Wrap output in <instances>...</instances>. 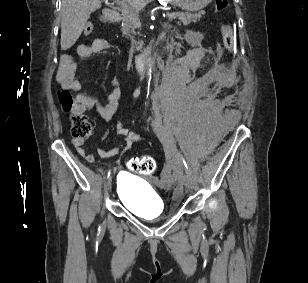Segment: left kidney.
<instances>
[{
  "label": "left kidney",
  "mask_w": 308,
  "mask_h": 283,
  "mask_svg": "<svg viewBox=\"0 0 308 283\" xmlns=\"http://www.w3.org/2000/svg\"><path fill=\"white\" fill-rule=\"evenodd\" d=\"M189 36H192V37H193V33L190 32V33H189ZM191 41H193V38L191 39Z\"/></svg>",
  "instance_id": "5707ae66"
}]
</instances>
